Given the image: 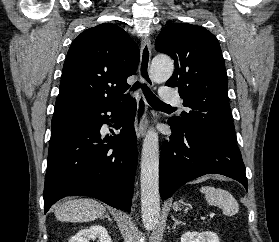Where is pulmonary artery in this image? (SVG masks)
Instances as JSON below:
<instances>
[{
	"mask_svg": "<svg viewBox=\"0 0 279 242\" xmlns=\"http://www.w3.org/2000/svg\"><path fill=\"white\" fill-rule=\"evenodd\" d=\"M161 99L168 104L181 106V98L179 94L170 86H162L160 91Z\"/></svg>",
	"mask_w": 279,
	"mask_h": 242,
	"instance_id": "e3ab8cb5",
	"label": "pulmonary artery"
}]
</instances>
